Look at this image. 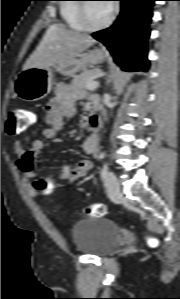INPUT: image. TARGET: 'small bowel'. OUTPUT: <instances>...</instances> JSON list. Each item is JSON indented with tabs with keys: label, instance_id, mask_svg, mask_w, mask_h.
I'll return each mask as SVG.
<instances>
[{
	"label": "small bowel",
	"instance_id": "c3829d8e",
	"mask_svg": "<svg viewBox=\"0 0 180 299\" xmlns=\"http://www.w3.org/2000/svg\"><path fill=\"white\" fill-rule=\"evenodd\" d=\"M81 98V93L65 83L57 84L54 96L46 107L45 121L47 127L43 131L46 139L55 138L62 129L63 121L74 116L76 112L75 104ZM25 143L28 146H25ZM43 149L40 140L26 138L24 142L17 141L15 150L18 155V166L23 173L24 183L30 194L36 193V182L48 184L74 182L84 177L91 169V162L82 159L74 165H62L58 173L44 175L40 178L34 171L35 163ZM85 153L97 156L99 153V138L97 135H89L82 143Z\"/></svg>",
	"mask_w": 180,
	"mask_h": 299
}]
</instances>
